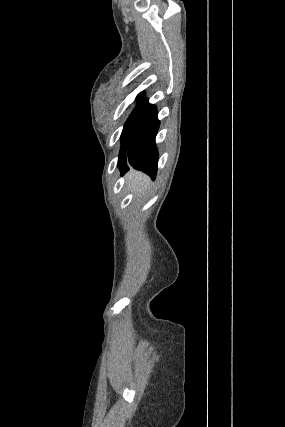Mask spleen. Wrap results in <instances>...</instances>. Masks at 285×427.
Instances as JSON below:
<instances>
[{
	"instance_id": "3e777b00",
	"label": "spleen",
	"mask_w": 285,
	"mask_h": 427,
	"mask_svg": "<svg viewBox=\"0 0 285 427\" xmlns=\"http://www.w3.org/2000/svg\"><path fill=\"white\" fill-rule=\"evenodd\" d=\"M129 184L133 190L144 193L150 187V179L141 172H132L129 175Z\"/></svg>"
}]
</instances>
